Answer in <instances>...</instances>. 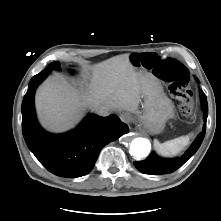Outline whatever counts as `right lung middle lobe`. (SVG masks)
Instances as JSON below:
<instances>
[{
	"label": "right lung middle lobe",
	"instance_id": "dd1d6c3e",
	"mask_svg": "<svg viewBox=\"0 0 221 221\" xmlns=\"http://www.w3.org/2000/svg\"><path fill=\"white\" fill-rule=\"evenodd\" d=\"M54 69H57L59 70L60 69V66H59V63L58 62H53L49 65V67L46 69V70H54Z\"/></svg>",
	"mask_w": 221,
	"mask_h": 221
}]
</instances>
